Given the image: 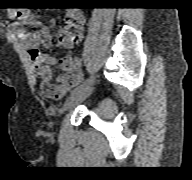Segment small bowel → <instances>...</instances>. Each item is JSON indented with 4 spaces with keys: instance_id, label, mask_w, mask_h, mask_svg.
Returning a JSON list of instances; mask_svg holds the SVG:
<instances>
[{
    "instance_id": "1",
    "label": "small bowel",
    "mask_w": 192,
    "mask_h": 180,
    "mask_svg": "<svg viewBox=\"0 0 192 180\" xmlns=\"http://www.w3.org/2000/svg\"><path fill=\"white\" fill-rule=\"evenodd\" d=\"M67 18L69 22L61 30L60 44L65 48H71L83 39L86 18L84 13L79 9L68 10ZM53 22L51 21V23ZM15 23L36 26L39 24V21L31 10L19 9L15 13ZM18 34L28 49L34 64L35 74L46 96L59 100L81 83L83 78L81 59L71 56L59 61L63 74L57 82L54 81L51 65L55 63V60L39 50L40 45L45 48L52 46V34L47 27H42L36 31L21 27Z\"/></svg>"
}]
</instances>
